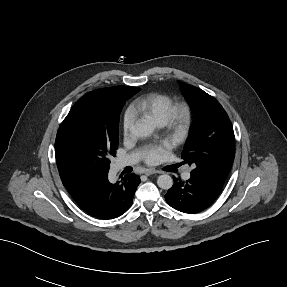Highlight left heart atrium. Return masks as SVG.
Listing matches in <instances>:
<instances>
[{
  "label": "left heart atrium",
  "mask_w": 287,
  "mask_h": 287,
  "mask_svg": "<svg viewBox=\"0 0 287 287\" xmlns=\"http://www.w3.org/2000/svg\"><path fill=\"white\" fill-rule=\"evenodd\" d=\"M167 150H168L167 145L152 146L146 151L144 159L148 164H157L163 159Z\"/></svg>",
  "instance_id": "obj_1"
}]
</instances>
